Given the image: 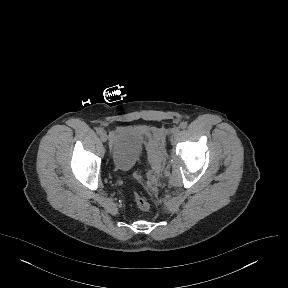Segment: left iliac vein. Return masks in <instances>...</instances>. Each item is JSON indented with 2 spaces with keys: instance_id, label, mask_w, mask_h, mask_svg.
<instances>
[{
  "instance_id": "1",
  "label": "left iliac vein",
  "mask_w": 288,
  "mask_h": 288,
  "mask_svg": "<svg viewBox=\"0 0 288 288\" xmlns=\"http://www.w3.org/2000/svg\"><path fill=\"white\" fill-rule=\"evenodd\" d=\"M179 130H180L179 127H174L172 128L171 133L175 135L179 132Z\"/></svg>"
}]
</instances>
